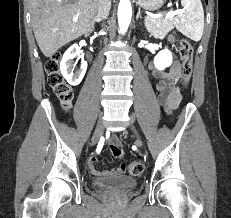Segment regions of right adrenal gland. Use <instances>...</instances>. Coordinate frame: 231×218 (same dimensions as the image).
Here are the masks:
<instances>
[{
    "label": "right adrenal gland",
    "instance_id": "obj_1",
    "mask_svg": "<svg viewBox=\"0 0 231 218\" xmlns=\"http://www.w3.org/2000/svg\"><path fill=\"white\" fill-rule=\"evenodd\" d=\"M99 22H100V20L96 18V19L94 20L93 24H92V27L94 28L95 23H99Z\"/></svg>",
    "mask_w": 231,
    "mask_h": 218
}]
</instances>
